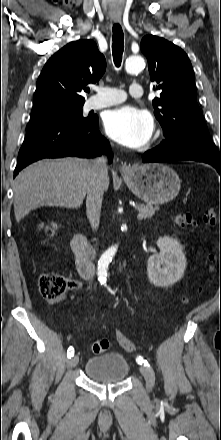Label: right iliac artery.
<instances>
[{"label":"right iliac artery","mask_w":221,"mask_h":440,"mask_svg":"<svg viewBox=\"0 0 221 440\" xmlns=\"http://www.w3.org/2000/svg\"><path fill=\"white\" fill-rule=\"evenodd\" d=\"M74 355V349L72 347L67 350V357L71 358Z\"/></svg>","instance_id":"82829eb1"}]
</instances>
